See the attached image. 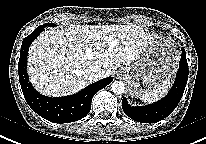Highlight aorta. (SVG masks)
<instances>
[{
	"label": "aorta",
	"mask_w": 206,
	"mask_h": 144,
	"mask_svg": "<svg viewBox=\"0 0 206 144\" xmlns=\"http://www.w3.org/2000/svg\"><path fill=\"white\" fill-rule=\"evenodd\" d=\"M111 90L115 94H123L125 92V84L122 81H114L111 84Z\"/></svg>",
	"instance_id": "obj_1"
}]
</instances>
